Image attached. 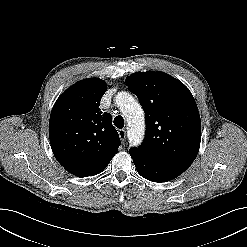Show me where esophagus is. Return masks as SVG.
Segmentation results:
<instances>
[{
    "label": "esophagus",
    "instance_id": "34e87169",
    "mask_svg": "<svg viewBox=\"0 0 247 247\" xmlns=\"http://www.w3.org/2000/svg\"><path fill=\"white\" fill-rule=\"evenodd\" d=\"M118 134H119V137H120L122 143L124 144L125 141H126V131H125V129H119L118 130Z\"/></svg>",
    "mask_w": 247,
    "mask_h": 247
}]
</instances>
